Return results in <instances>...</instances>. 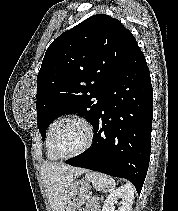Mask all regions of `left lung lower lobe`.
<instances>
[{"mask_svg":"<svg viewBox=\"0 0 178 211\" xmlns=\"http://www.w3.org/2000/svg\"><path fill=\"white\" fill-rule=\"evenodd\" d=\"M153 89L137 46L104 94L90 149L66 161L131 181L141 192L150 160Z\"/></svg>","mask_w":178,"mask_h":211,"instance_id":"1","label":"left lung lower lobe"}]
</instances>
